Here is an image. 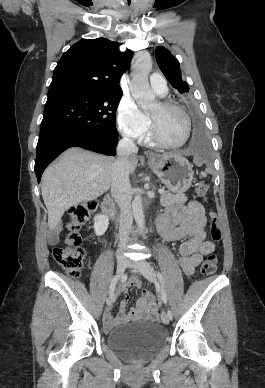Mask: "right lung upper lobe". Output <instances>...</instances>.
<instances>
[{
	"instance_id": "1",
	"label": "right lung upper lobe",
	"mask_w": 265,
	"mask_h": 388,
	"mask_svg": "<svg viewBox=\"0 0 265 388\" xmlns=\"http://www.w3.org/2000/svg\"><path fill=\"white\" fill-rule=\"evenodd\" d=\"M132 54L121 53L118 44L105 38L80 40L57 63L48 94L120 89Z\"/></svg>"
}]
</instances>
